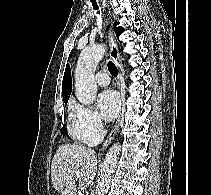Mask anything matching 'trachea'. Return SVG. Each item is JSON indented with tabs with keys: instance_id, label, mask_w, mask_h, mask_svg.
<instances>
[{
	"instance_id": "1",
	"label": "trachea",
	"mask_w": 211,
	"mask_h": 195,
	"mask_svg": "<svg viewBox=\"0 0 211 195\" xmlns=\"http://www.w3.org/2000/svg\"><path fill=\"white\" fill-rule=\"evenodd\" d=\"M92 5H93L94 10H97V13L99 14L100 11H99V7H98L97 3L92 2ZM108 70H109V72L111 73L112 76H114V77L117 76L118 71H117L115 64L112 61L108 62Z\"/></svg>"
}]
</instances>
